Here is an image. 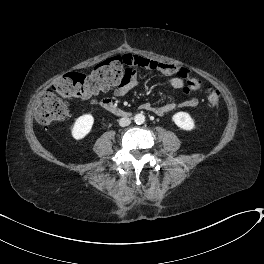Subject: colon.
<instances>
[{
    "mask_svg": "<svg viewBox=\"0 0 264 264\" xmlns=\"http://www.w3.org/2000/svg\"><path fill=\"white\" fill-rule=\"evenodd\" d=\"M131 63V55L116 56L100 62L87 74L72 71L61 76L42 94L35 111L36 120L48 126L64 118L68 113V105L64 98L86 97L115 86L122 80ZM200 86V80L192 78L185 92L191 94ZM204 90L207 103L216 107L220 102L218 89L208 84Z\"/></svg>",
    "mask_w": 264,
    "mask_h": 264,
    "instance_id": "colon-1",
    "label": "colon"
}]
</instances>
